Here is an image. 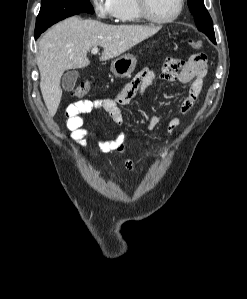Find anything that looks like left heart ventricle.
I'll return each instance as SVG.
<instances>
[{
  "mask_svg": "<svg viewBox=\"0 0 247 299\" xmlns=\"http://www.w3.org/2000/svg\"><path fill=\"white\" fill-rule=\"evenodd\" d=\"M150 13L160 19L171 17L178 8V0H147Z\"/></svg>",
  "mask_w": 247,
  "mask_h": 299,
  "instance_id": "obj_1",
  "label": "left heart ventricle"
}]
</instances>
